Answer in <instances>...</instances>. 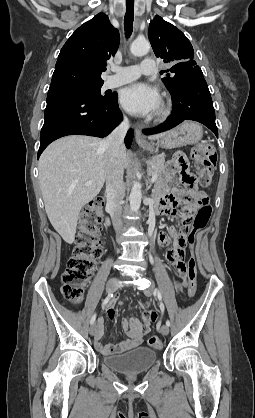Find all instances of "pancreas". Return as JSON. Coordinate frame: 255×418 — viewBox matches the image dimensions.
Returning a JSON list of instances; mask_svg holds the SVG:
<instances>
[{
    "label": "pancreas",
    "mask_w": 255,
    "mask_h": 418,
    "mask_svg": "<svg viewBox=\"0 0 255 418\" xmlns=\"http://www.w3.org/2000/svg\"><path fill=\"white\" fill-rule=\"evenodd\" d=\"M164 162H165V155H157L147 161L148 167V174L154 175L157 174L158 176L161 175L164 169Z\"/></svg>",
    "instance_id": "1"
}]
</instances>
